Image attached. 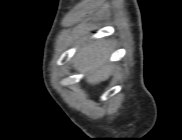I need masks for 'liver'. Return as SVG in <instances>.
I'll return each instance as SVG.
<instances>
[{"label":"liver","instance_id":"1","mask_svg":"<svg viewBox=\"0 0 182 140\" xmlns=\"http://www.w3.org/2000/svg\"><path fill=\"white\" fill-rule=\"evenodd\" d=\"M109 55L110 48L106 41L88 43L77 52L73 67L80 72H85L86 81L95 85L109 77L110 66L107 63Z\"/></svg>","mask_w":182,"mask_h":140}]
</instances>
